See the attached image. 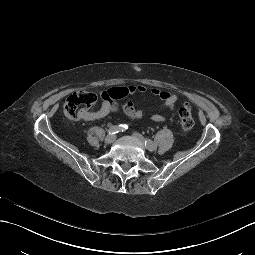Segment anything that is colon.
Returning <instances> with one entry per match:
<instances>
[{
  "label": "colon",
  "instance_id": "5ec220e1",
  "mask_svg": "<svg viewBox=\"0 0 255 255\" xmlns=\"http://www.w3.org/2000/svg\"><path fill=\"white\" fill-rule=\"evenodd\" d=\"M105 97L116 100L124 98L129 94V90L126 87L112 88L106 91ZM97 97L94 93L89 91H77L70 95L64 104V114L68 119L76 120L81 118L82 114L87 112L95 103ZM180 127L183 132H188L194 126V120L192 116L191 107L184 105L178 112Z\"/></svg>",
  "mask_w": 255,
  "mask_h": 255
}]
</instances>
